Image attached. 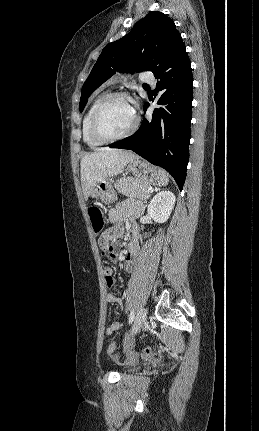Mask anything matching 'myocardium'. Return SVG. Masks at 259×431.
<instances>
[{
  "mask_svg": "<svg viewBox=\"0 0 259 431\" xmlns=\"http://www.w3.org/2000/svg\"><path fill=\"white\" fill-rule=\"evenodd\" d=\"M118 99H126L128 101H130L132 103V98L131 96L126 93V92H115V93H110L108 95H106L101 101L100 103L97 105V107L95 108L92 117H91V121H90V132L92 137L102 143H109V142H114V141H118L121 139H125L131 135H133L139 127L140 124V119L139 116L136 112V110L134 109L135 112V119H134V123L131 126V128L129 130H127L126 132L119 134V135H115V136H107L105 134L102 133L101 129H100V119L101 116L104 112V110L106 109V107L111 104L113 101L118 100Z\"/></svg>",
  "mask_w": 259,
  "mask_h": 431,
  "instance_id": "obj_1",
  "label": "myocardium"
}]
</instances>
